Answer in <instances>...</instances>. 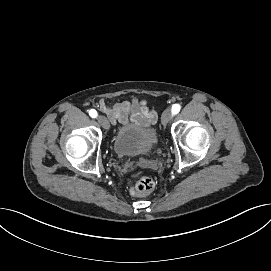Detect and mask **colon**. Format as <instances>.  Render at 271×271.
<instances>
[{"mask_svg": "<svg viewBox=\"0 0 271 271\" xmlns=\"http://www.w3.org/2000/svg\"><path fill=\"white\" fill-rule=\"evenodd\" d=\"M154 187L155 182L153 179L147 176H143L131 186V193L138 196L146 195L151 193Z\"/></svg>", "mask_w": 271, "mask_h": 271, "instance_id": "colon-1", "label": "colon"}]
</instances>
